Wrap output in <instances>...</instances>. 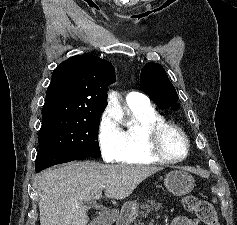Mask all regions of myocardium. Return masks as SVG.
Here are the masks:
<instances>
[{
	"instance_id": "f54148a6",
	"label": "myocardium",
	"mask_w": 237,
	"mask_h": 225,
	"mask_svg": "<svg viewBox=\"0 0 237 225\" xmlns=\"http://www.w3.org/2000/svg\"><path fill=\"white\" fill-rule=\"evenodd\" d=\"M175 132L183 140L185 145V152L182 156H171L164 149V138L167 133ZM146 139L150 153L164 163H176L184 160L190 151V141L186 133L178 126L167 123L159 122L148 128L146 131Z\"/></svg>"
}]
</instances>
